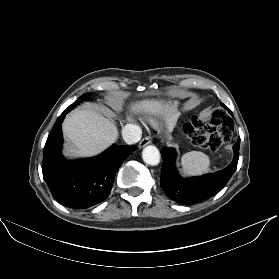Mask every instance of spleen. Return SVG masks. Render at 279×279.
<instances>
[{"label":"spleen","instance_id":"spleen-1","mask_svg":"<svg viewBox=\"0 0 279 279\" xmlns=\"http://www.w3.org/2000/svg\"><path fill=\"white\" fill-rule=\"evenodd\" d=\"M181 164L187 175H202L210 169V158L202 152L191 151L182 156Z\"/></svg>","mask_w":279,"mask_h":279}]
</instances>
